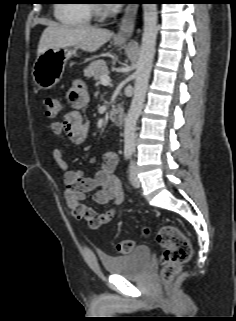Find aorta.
Here are the masks:
<instances>
[{
  "mask_svg": "<svg viewBox=\"0 0 236 321\" xmlns=\"http://www.w3.org/2000/svg\"><path fill=\"white\" fill-rule=\"evenodd\" d=\"M142 43L135 72L134 95L129 112L125 118L124 142L125 150L135 149L136 123L145 101L149 77L155 55L157 37V4H143Z\"/></svg>",
  "mask_w": 236,
  "mask_h": 321,
  "instance_id": "762f6f07",
  "label": "aorta"
}]
</instances>
